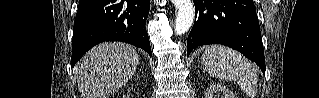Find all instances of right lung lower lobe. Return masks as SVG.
Segmentation results:
<instances>
[{
    "mask_svg": "<svg viewBox=\"0 0 319 98\" xmlns=\"http://www.w3.org/2000/svg\"><path fill=\"white\" fill-rule=\"evenodd\" d=\"M150 0H79L73 27L71 66L100 42L122 41L151 56L145 24Z\"/></svg>",
    "mask_w": 319,
    "mask_h": 98,
    "instance_id": "1",
    "label": "right lung lower lobe"
}]
</instances>
